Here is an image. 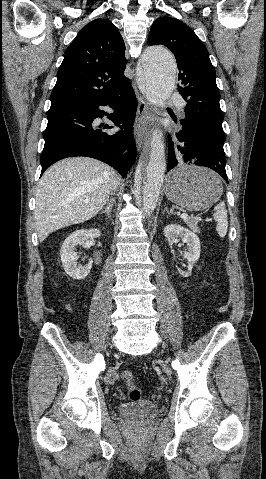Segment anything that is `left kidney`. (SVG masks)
Listing matches in <instances>:
<instances>
[{"label": "left kidney", "mask_w": 266, "mask_h": 479, "mask_svg": "<svg viewBox=\"0 0 266 479\" xmlns=\"http://www.w3.org/2000/svg\"><path fill=\"white\" fill-rule=\"evenodd\" d=\"M164 234L169 243H173L177 237H180L187 244L188 251L184 253V257L189 261L187 271L180 269L178 271L182 277H189L194 263L200 257L201 246L198 236L194 232L175 224L167 225L164 228Z\"/></svg>", "instance_id": "1"}]
</instances>
